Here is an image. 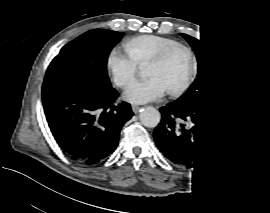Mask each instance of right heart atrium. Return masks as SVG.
<instances>
[{
    "mask_svg": "<svg viewBox=\"0 0 270 213\" xmlns=\"http://www.w3.org/2000/svg\"><path fill=\"white\" fill-rule=\"evenodd\" d=\"M108 67L115 83L124 87L129 85L137 75V64L130 57L113 52L108 61Z\"/></svg>",
    "mask_w": 270,
    "mask_h": 213,
    "instance_id": "1",
    "label": "right heart atrium"
}]
</instances>
